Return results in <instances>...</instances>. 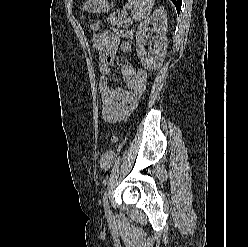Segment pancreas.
Returning a JSON list of instances; mask_svg holds the SVG:
<instances>
[{
  "mask_svg": "<svg viewBox=\"0 0 248 247\" xmlns=\"http://www.w3.org/2000/svg\"><path fill=\"white\" fill-rule=\"evenodd\" d=\"M130 20L126 17V16H118V17H114L110 20V23L112 25H116L117 27H123L124 25H126L127 23H129Z\"/></svg>",
  "mask_w": 248,
  "mask_h": 247,
  "instance_id": "1",
  "label": "pancreas"
}]
</instances>
